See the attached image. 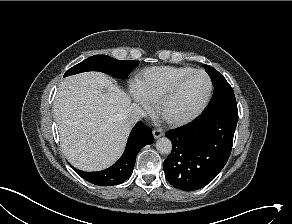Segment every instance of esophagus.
I'll return each mask as SVG.
<instances>
[{"instance_id": "esophagus-1", "label": "esophagus", "mask_w": 292, "mask_h": 224, "mask_svg": "<svg viewBox=\"0 0 292 224\" xmlns=\"http://www.w3.org/2000/svg\"><path fill=\"white\" fill-rule=\"evenodd\" d=\"M152 134H153V136H154L155 139L163 136V132L161 130H159V129H154L152 131Z\"/></svg>"}]
</instances>
